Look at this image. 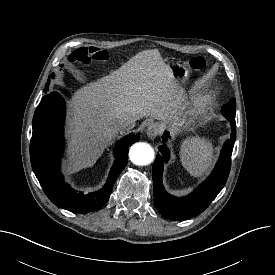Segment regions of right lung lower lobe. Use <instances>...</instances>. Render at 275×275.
Masks as SVG:
<instances>
[{
  "mask_svg": "<svg viewBox=\"0 0 275 275\" xmlns=\"http://www.w3.org/2000/svg\"><path fill=\"white\" fill-rule=\"evenodd\" d=\"M64 119L65 104L62 97L56 92L45 95L35 110L32 122V169L45 194L56 206L76 213L93 212L109 199L116 179L127 165L129 147L139 140L140 135H128L117 144L114 151L116 160L105 186L83 195L70 188L59 172Z\"/></svg>",
  "mask_w": 275,
  "mask_h": 275,
  "instance_id": "1",
  "label": "right lung lower lobe"
}]
</instances>
